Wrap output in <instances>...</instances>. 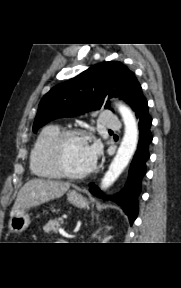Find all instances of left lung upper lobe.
<instances>
[{
    "label": "left lung upper lobe",
    "instance_id": "1",
    "mask_svg": "<svg viewBox=\"0 0 181 288\" xmlns=\"http://www.w3.org/2000/svg\"><path fill=\"white\" fill-rule=\"evenodd\" d=\"M141 89L135 74L118 61L94 65L52 88L41 100L33 132L51 120L100 109L104 98L120 97L128 104ZM109 108V102L105 105Z\"/></svg>",
    "mask_w": 181,
    "mask_h": 288
}]
</instances>
